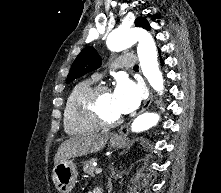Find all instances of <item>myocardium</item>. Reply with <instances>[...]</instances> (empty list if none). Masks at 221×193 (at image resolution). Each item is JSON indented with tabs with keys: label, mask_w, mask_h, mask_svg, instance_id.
<instances>
[{
	"label": "myocardium",
	"mask_w": 221,
	"mask_h": 193,
	"mask_svg": "<svg viewBox=\"0 0 221 193\" xmlns=\"http://www.w3.org/2000/svg\"><path fill=\"white\" fill-rule=\"evenodd\" d=\"M106 84H97L87 89L78 99L77 109L79 114L87 121L99 127H115L123 118L119 116L114 119L107 118L100 107V99L103 93L109 91Z\"/></svg>",
	"instance_id": "f54148a6"
}]
</instances>
